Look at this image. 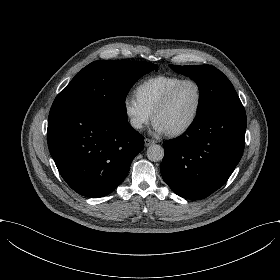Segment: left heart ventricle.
Returning <instances> with one entry per match:
<instances>
[{"label":"left heart ventricle","mask_w":280,"mask_h":280,"mask_svg":"<svg viewBox=\"0 0 280 280\" xmlns=\"http://www.w3.org/2000/svg\"><path fill=\"white\" fill-rule=\"evenodd\" d=\"M198 89L194 83L184 84L174 95L170 105L157 119L161 120L169 131L186 124L193 117L198 104Z\"/></svg>","instance_id":"left-heart-ventricle-1"}]
</instances>
